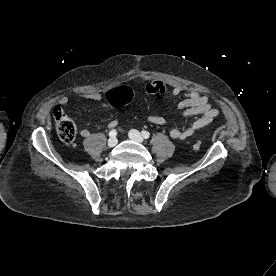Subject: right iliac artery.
<instances>
[{
	"label": "right iliac artery",
	"instance_id": "82829eb1",
	"mask_svg": "<svg viewBox=\"0 0 276 276\" xmlns=\"http://www.w3.org/2000/svg\"><path fill=\"white\" fill-rule=\"evenodd\" d=\"M117 135V131L116 130H111L110 132H109V136L110 137H115Z\"/></svg>",
	"mask_w": 276,
	"mask_h": 276
}]
</instances>
